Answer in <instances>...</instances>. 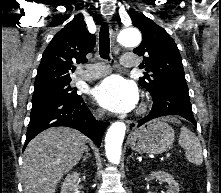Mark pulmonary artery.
<instances>
[{
    "mask_svg": "<svg viewBox=\"0 0 221 193\" xmlns=\"http://www.w3.org/2000/svg\"><path fill=\"white\" fill-rule=\"evenodd\" d=\"M121 64L126 68H132L138 64L136 56L124 55L121 58ZM94 69L82 73L77 80L92 81L105 77L111 72V67L105 64H96Z\"/></svg>",
    "mask_w": 221,
    "mask_h": 193,
    "instance_id": "e3ab8cb5",
    "label": "pulmonary artery"
}]
</instances>
